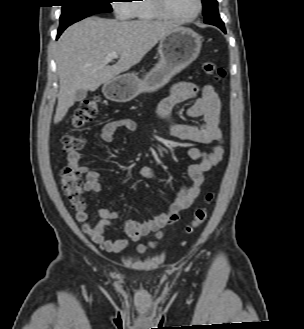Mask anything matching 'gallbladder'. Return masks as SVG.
Wrapping results in <instances>:
<instances>
[{"mask_svg":"<svg viewBox=\"0 0 304 329\" xmlns=\"http://www.w3.org/2000/svg\"><path fill=\"white\" fill-rule=\"evenodd\" d=\"M86 95H87V90H85V89L77 90L76 94H75V101L80 102V101L84 100L86 98Z\"/></svg>","mask_w":304,"mask_h":329,"instance_id":"obj_1","label":"gallbladder"}]
</instances>
